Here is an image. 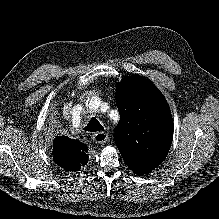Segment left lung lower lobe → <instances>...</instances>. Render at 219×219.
I'll use <instances>...</instances> for the list:
<instances>
[{
  "mask_svg": "<svg viewBox=\"0 0 219 219\" xmlns=\"http://www.w3.org/2000/svg\"><path fill=\"white\" fill-rule=\"evenodd\" d=\"M143 174H147V173H143ZM143 174H139V175H143Z\"/></svg>",
  "mask_w": 219,
  "mask_h": 219,
  "instance_id": "left-lung-lower-lobe-1",
  "label": "left lung lower lobe"
}]
</instances>
